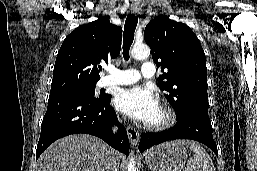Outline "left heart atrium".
Masks as SVG:
<instances>
[{"label": "left heart atrium", "instance_id": "obj_1", "mask_svg": "<svg viewBox=\"0 0 257 171\" xmlns=\"http://www.w3.org/2000/svg\"><path fill=\"white\" fill-rule=\"evenodd\" d=\"M115 107L135 120L148 122L159 109L157 96L146 87L120 90L114 98Z\"/></svg>", "mask_w": 257, "mask_h": 171}]
</instances>
